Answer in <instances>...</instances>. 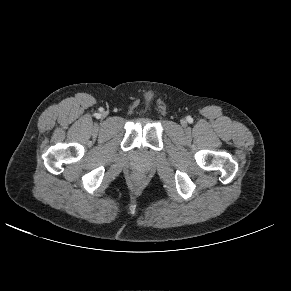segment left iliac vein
I'll list each match as a JSON object with an SVG mask.
<instances>
[{
    "label": "left iliac vein",
    "instance_id": "left-iliac-vein-1",
    "mask_svg": "<svg viewBox=\"0 0 291 291\" xmlns=\"http://www.w3.org/2000/svg\"><path fill=\"white\" fill-rule=\"evenodd\" d=\"M181 124H182L183 126H185V125H186V121H185V120H182V121H181Z\"/></svg>",
    "mask_w": 291,
    "mask_h": 291
}]
</instances>
